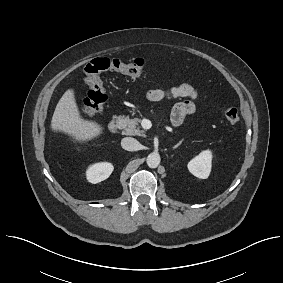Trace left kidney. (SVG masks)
<instances>
[{"instance_id":"1","label":"left kidney","mask_w":283,"mask_h":283,"mask_svg":"<svg viewBox=\"0 0 283 283\" xmlns=\"http://www.w3.org/2000/svg\"><path fill=\"white\" fill-rule=\"evenodd\" d=\"M212 152L204 150L194 157L187 165L188 170L196 177L201 179L208 178L211 172Z\"/></svg>"}]
</instances>
